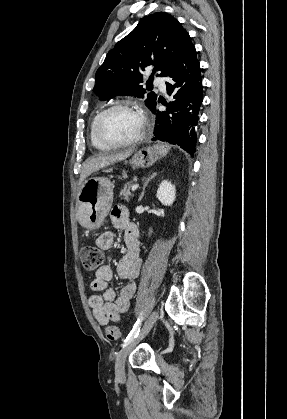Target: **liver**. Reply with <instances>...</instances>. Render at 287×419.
<instances>
[{
    "label": "liver",
    "mask_w": 287,
    "mask_h": 419,
    "mask_svg": "<svg viewBox=\"0 0 287 419\" xmlns=\"http://www.w3.org/2000/svg\"><path fill=\"white\" fill-rule=\"evenodd\" d=\"M134 149H129L123 152L113 153V154H99L94 157L89 158L84 164L82 168V172L79 179V184L84 182V180L91 175L92 173L105 168L115 162L122 161L128 158Z\"/></svg>",
    "instance_id": "1"
}]
</instances>
